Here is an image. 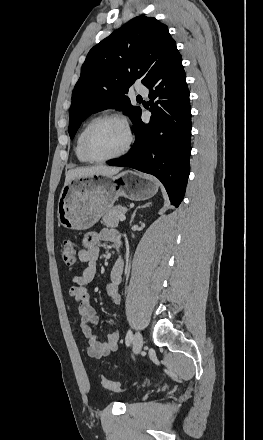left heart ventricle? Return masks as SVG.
<instances>
[{
	"label": "left heart ventricle",
	"instance_id": "1",
	"mask_svg": "<svg viewBox=\"0 0 263 440\" xmlns=\"http://www.w3.org/2000/svg\"><path fill=\"white\" fill-rule=\"evenodd\" d=\"M126 135L123 127L114 121L101 123L93 131L90 149L97 156L111 155L124 145Z\"/></svg>",
	"mask_w": 263,
	"mask_h": 440
}]
</instances>
